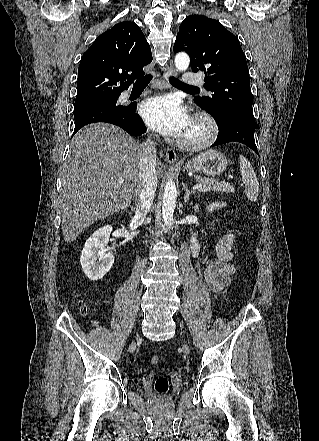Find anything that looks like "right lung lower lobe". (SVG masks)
Instances as JSON below:
<instances>
[{
	"instance_id": "1",
	"label": "right lung lower lobe",
	"mask_w": 319,
	"mask_h": 441,
	"mask_svg": "<svg viewBox=\"0 0 319 441\" xmlns=\"http://www.w3.org/2000/svg\"><path fill=\"white\" fill-rule=\"evenodd\" d=\"M136 103L129 106H93L74 113L75 129L73 135L83 126L106 122L117 125L132 136H139L146 132V127L135 113Z\"/></svg>"
}]
</instances>
